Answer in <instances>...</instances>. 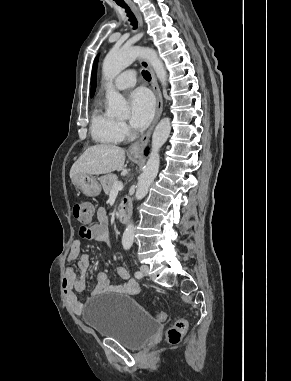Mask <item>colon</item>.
<instances>
[{"instance_id":"obj_1","label":"colon","mask_w":291,"mask_h":381,"mask_svg":"<svg viewBox=\"0 0 291 381\" xmlns=\"http://www.w3.org/2000/svg\"><path fill=\"white\" fill-rule=\"evenodd\" d=\"M72 214L76 221L81 225V229H88L94 221V208L86 202H76L72 206ZM156 320L162 322L166 320V312H159L155 316ZM187 329V323L183 319L177 320L166 333L167 341L170 344H178Z\"/></svg>"}]
</instances>
